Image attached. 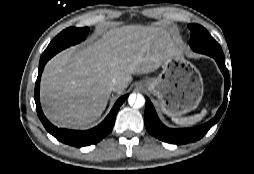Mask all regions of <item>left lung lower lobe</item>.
Here are the masks:
<instances>
[{"mask_svg":"<svg viewBox=\"0 0 254 174\" xmlns=\"http://www.w3.org/2000/svg\"><path fill=\"white\" fill-rule=\"evenodd\" d=\"M211 57L216 60L220 70L225 77L224 101L220 109L217 111L216 116L206 124L194 128L170 129L161 123L152 103L149 100H146L144 123L147 131L152 136L167 143L177 145L186 144L189 142H195L202 138L208 132V130L218 122L227 104V93L230 87V79L229 72L225 66L224 56L213 55Z\"/></svg>","mask_w":254,"mask_h":174,"instance_id":"0a47b994","label":"left lung lower lobe"}]
</instances>
